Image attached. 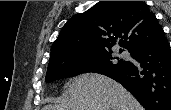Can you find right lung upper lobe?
Instances as JSON below:
<instances>
[{
	"label": "right lung upper lobe",
	"mask_w": 171,
	"mask_h": 110,
	"mask_svg": "<svg viewBox=\"0 0 171 110\" xmlns=\"http://www.w3.org/2000/svg\"><path fill=\"white\" fill-rule=\"evenodd\" d=\"M163 37L162 27L145 2L100 1L63 26L51 47L50 60L62 55L111 49L116 42L133 52Z\"/></svg>",
	"instance_id": "obj_1"
}]
</instances>
